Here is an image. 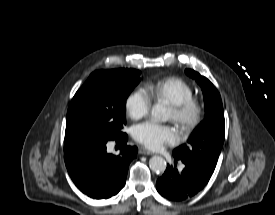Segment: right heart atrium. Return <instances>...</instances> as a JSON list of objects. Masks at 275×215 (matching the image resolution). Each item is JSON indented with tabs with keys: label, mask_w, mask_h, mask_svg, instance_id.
I'll use <instances>...</instances> for the list:
<instances>
[{
	"label": "right heart atrium",
	"mask_w": 275,
	"mask_h": 215,
	"mask_svg": "<svg viewBox=\"0 0 275 215\" xmlns=\"http://www.w3.org/2000/svg\"><path fill=\"white\" fill-rule=\"evenodd\" d=\"M151 103V98L144 89H136L126 99V112L134 120L141 119L149 113Z\"/></svg>",
	"instance_id": "right-heart-atrium-1"
}]
</instances>
